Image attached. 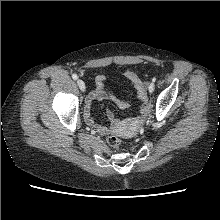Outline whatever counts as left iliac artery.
I'll return each mask as SVG.
<instances>
[{
    "instance_id": "obj_1",
    "label": "left iliac artery",
    "mask_w": 220,
    "mask_h": 220,
    "mask_svg": "<svg viewBox=\"0 0 220 220\" xmlns=\"http://www.w3.org/2000/svg\"><path fill=\"white\" fill-rule=\"evenodd\" d=\"M152 81L155 82V81H156V78L154 77V78L152 79Z\"/></svg>"
}]
</instances>
